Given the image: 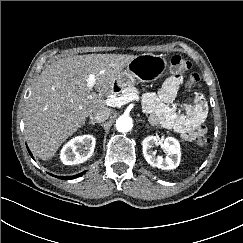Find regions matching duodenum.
I'll use <instances>...</instances> for the list:
<instances>
[{
  "mask_svg": "<svg viewBox=\"0 0 243 243\" xmlns=\"http://www.w3.org/2000/svg\"><path fill=\"white\" fill-rule=\"evenodd\" d=\"M118 91H119V87H118V86H114V87H113V92H114V93H117Z\"/></svg>",
  "mask_w": 243,
  "mask_h": 243,
  "instance_id": "obj_1",
  "label": "duodenum"
}]
</instances>
